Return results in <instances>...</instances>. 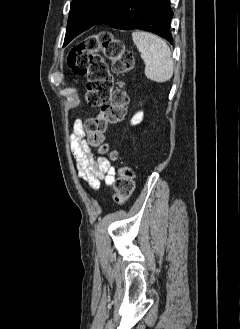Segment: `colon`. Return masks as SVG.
Returning a JSON list of instances; mask_svg holds the SVG:
<instances>
[{
  "label": "colon",
  "mask_w": 240,
  "mask_h": 329,
  "mask_svg": "<svg viewBox=\"0 0 240 329\" xmlns=\"http://www.w3.org/2000/svg\"><path fill=\"white\" fill-rule=\"evenodd\" d=\"M112 61V72L125 74L134 66V56L124 44L109 32L86 37L69 53L67 64L71 71L87 78L85 99L91 107H101L99 114L84 123L87 142L100 153H108L112 161H118L117 151H110L105 142V132L111 124L124 118L129 96L123 83L114 84L113 76L105 60ZM134 188V172L129 166H120L114 182L113 200L122 205Z\"/></svg>",
  "instance_id": "1"
}]
</instances>
